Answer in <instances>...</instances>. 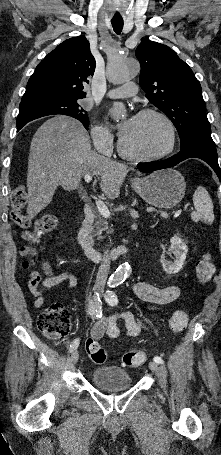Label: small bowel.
I'll list each match as a JSON object with an SVG mask.
<instances>
[{
  "mask_svg": "<svg viewBox=\"0 0 221 455\" xmlns=\"http://www.w3.org/2000/svg\"><path fill=\"white\" fill-rule=\"evenodd\" d=\"M42 267L46 277L42 280L38 274H33L29 280V291L35 297V306L41 307L45 302L43 292L65 282V288L71 290L77 286V278L72 273H55L51 264L44 260ZM134 294L150 307L167 306L177 300L181 293V287L171 285L158 287L147 282H137L133 287ZM118 318H121L126 325V334L135 337L145 330L142 321L129 311H121L117 314L101 317L94 323L91 329V337L100 339L106 335L110 339H116L120 335L117 325Z\"/></svg>",
  "mask_w": 221,
  "mask_h": 455,
  "instance_id": "c3829d8e",
  "label": "small bowel"
}]
</instances>
